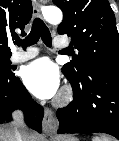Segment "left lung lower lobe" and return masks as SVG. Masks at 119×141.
Returning <instances> with one entry per match:
<instances>
[{"label": "left lung lower lobe", "mask_w": 119, "mask_h": 141, "mask_svg": "<svg viewBox=\"0 0 119 141\" xmlns=\"http://www.w3.org/2000/svg\"><path fill=\"white\" fill-rule=\"evenodd\" d=\"M68 80L74 96L67 107L57 110L58 133L102 132L119 139V71L90 72Z\"/></svg>", "instance_id": "obj_1"}]
</instances>
